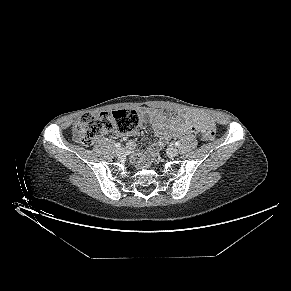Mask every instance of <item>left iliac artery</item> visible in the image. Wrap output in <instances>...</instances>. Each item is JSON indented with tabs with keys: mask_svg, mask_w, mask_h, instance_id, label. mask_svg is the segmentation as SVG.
<instances>
[{
	"mask_svg": "<svg viewBox=\"0 0 291 291\" xmlns=\"http://www.w3.org/2000/svg\"><path fill=\"white\" fill-rule=\"evenodd\" d=\"M181 143L179 141L175 142L176 147H180Z\"/></svg>",
	"mask_w": 291,
	"mask_h": 291,
	"instance_id": "1",
	"label": "left iliac artery"
}]
</instances>
